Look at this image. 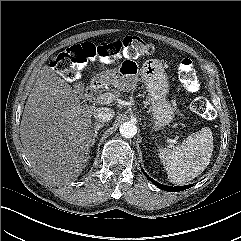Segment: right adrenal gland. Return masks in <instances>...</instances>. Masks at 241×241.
<instances>
[{
    "label": "right adrenal gland",
    "mask_w": 241,
    "mask_h": 241,
    "mask_svg": "<svg viewBox=\"0 0 241 241\" xmlns=\"http://www.w3.org/2000/svg\"><path fill=\"white\" fill-rule=\"evenodd\" d=\"M103 127H104V123L101 124V123H97V122H95L91 126V131H92V143H91V146H93L95 141H96L99 129H101Z\"/></svg>",
    "instance_id": "2a0ac1e0"
}]
</instances>
